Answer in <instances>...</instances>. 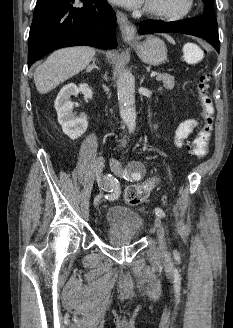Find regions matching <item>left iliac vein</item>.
<instances>
[{
	"mask_svg": "<svg viewBox=\"0 0 233 328\" xmlns=\"http://www.w3.org/2000/svg\"><path fill=\"white\" fill-rule=\"evenodd\" d=\"M110 168L116 176L123 177L124 170L122 168L121 163L117 159H114V158L110 159ZM154 224H155V228H156L158 239H159L160 249L163 253H165L167 247H166L164 227H163L161 219L159 217H156Z\"/></svg>",
	"mask_w": 233,
	"mask_h": 328,
	"instance_id": "obj_1",
	"label": "left iliac vein"
}]
</instances>
